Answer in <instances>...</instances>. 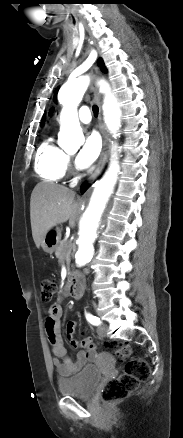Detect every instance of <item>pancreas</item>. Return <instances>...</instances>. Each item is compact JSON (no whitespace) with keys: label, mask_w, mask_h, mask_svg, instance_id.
<instances>
[{"label":"pancreas","mask_w":183,"mask_h":438,"mask_svg":"<svg viewBox=\"0 0 183 438\" xmlns=\"http://www.w3.org/2000/svg\"><path fill=\"white\" fill-rule=\"evenodd\" d=\"M55 255L59 259V262L66 261L67 265H69L71 260V247L69 242L61 241L56 248Z\"/></svg>","instance_id":"cf45deb5"}]
</instances>
